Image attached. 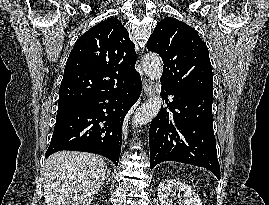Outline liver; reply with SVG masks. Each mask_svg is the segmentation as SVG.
<instances>
[{"label":"liver","mask_w":269,"mask_h":205,"mask_svg":"<svg viewBox=\"0 0 269 205\" xmlns=\"http://www.w3.org/2000/svg\"><path fill=\"white\" fill-rule=\"evenodd\" d=\"M107 166L94 154L60 151L45 165L44 198L47 205H88L101 189Z\"/></svg>","instance_id":"1"}]
</instances>
